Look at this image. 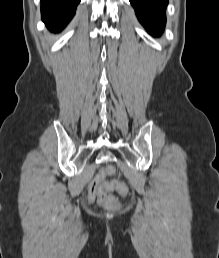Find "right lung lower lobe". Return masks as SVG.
Masks as SVG:
<instances>
[{"label":"right lung lower lobe","mask_w":219,"mask_h":258,"mask_svg":"<svg viewBox=\"0 0 219 258\" xmlns=\"http://www.w3.org/2000/svg\"><path fill=\"white\" fill-rule=\"evenodd\" d=\"M80 0H41L42 20L49 30L58 32L72 19Z\"/></svg>","instance_id":"1"}]
</instances>
